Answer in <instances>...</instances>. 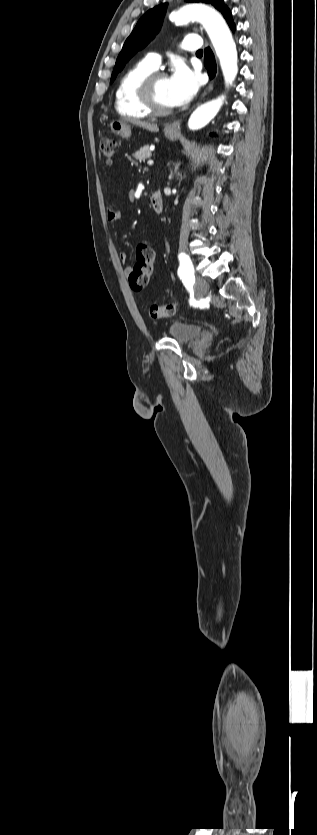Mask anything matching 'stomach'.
I'll return each instance as SVG.
<instances>
[{
  "mask_svg": "<svg viewBox=\"0 0 317 835\" xmlns=\"http://www.w3.org/2000/svg\"><path fill=\"white\" fill-rule=\"evenodd\" d=\"M110 129L114 134H117V135L122 136L124 138H128L131 134L130 125L123 120H113L110 123ZM164 134L171 141L176 140L178 135H179L178 132H173V131L169 130V128H167V127H165V129H164Z\"/></svg>",
  "mask_w": 317,
  "mask_h": 835,
  "instance_id": "0dacf381",
  "label": "stomach"
}]
</instances>
